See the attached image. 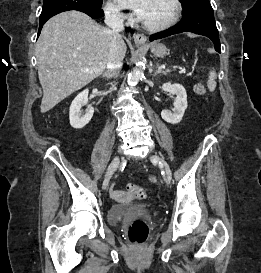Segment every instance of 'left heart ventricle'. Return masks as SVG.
<instances>
[{
	"label": "left heart ventricle",
	"instance_id": "left-heart-ventricle-1",
	"mask_svg": "<svg viewBox=\"0 0 261 273\" xmlns=\"http://www.w3.org/2000/svg\"><path fill=\"white\" fill-rule=\"evenodd\" d=\"M173 13V5L170 0H150L143 23L158 25L166 22Z\"/></svg>",
	"mask_w": 261,
	"mask_h": 273
}]
</instances>
